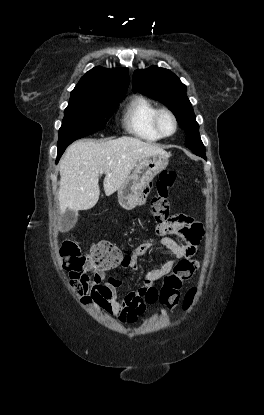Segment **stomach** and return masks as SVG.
<instances>
[{
  "label": "stomach",
  "mask_w": 264,
  "mask_h": 415,
  "mask_svg": "<svg viewBox=\"0 0 264 415\" xmlns=\"http://www.w3.org/2000/svg\"><path fill=\"white\" fill-rule=\"evenodd\" d=\"M169 163L168 155H153L138 161L132 174L118 189V201L125 210H133L143 202L144 188Z\"/></svg>",
  "instance_id": "stomach-1"
}]
</instances>
